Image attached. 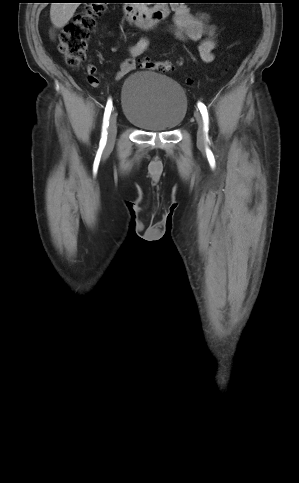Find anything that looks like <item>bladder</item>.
Returning a JSON list of instances; mask_svg holds the SVG:
<instances>
[{
	"mask_svg": "<svg viewBox=\"0 0 299 483\" xmlns=\"http://www.w3.org/2000/svg\"><path fill=\"white\" fill-rule=\"evenodd\" d=\"M126 121L148 132H169L187 113V97L179 83L152 70L135 71L120 94Z\"/></svg>",
	"mask_w": 299,
	"mask_h": 483,
	"instance_id": "obj_1",
	"label": "bladder"
}]
</instances>
